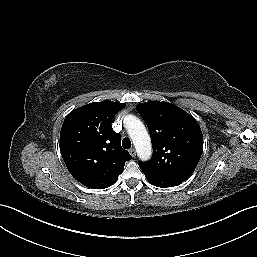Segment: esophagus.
Returning <instances> with one entry per match:
<instances>
[{
    "label": "esophagus",
    "instance_id": "esophagus-1",
    "mask_svg": "<svg viewBox=\"0 0 257 257\" xmlns=\"http://www.w3.org/2000/svg\"><path fill=\"white\" fill-rule=\"evenodd\" d=\"M129 153H130V155H131L132 157H135V156H136V150H135L134 148H131V149L129 150Z\"/></svg>",
    "mask_w": 257,
    "mask_h": 257
}]
</instances>
